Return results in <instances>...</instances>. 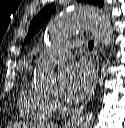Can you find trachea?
Returning <instances> with one entry per match:
<instances>
[{
    "mask_svg": "<svg viewBox=\"0 0 125 128\" xmlns=\"http://www.w3.org/2000/svg\"><path fill=\"white\" fill-rule=\"evenodd\" d=\"M93 46H94V42H93V41H90V42L88 43L89 49H90V50H93Z\"/></svg>",
    "mask_w": 125,
    "mask_h": 128,
    "instance_id": "1",
    "label": "trachea"
}]
</instances>
